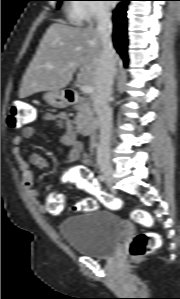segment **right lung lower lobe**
I'll return each instance as SVG.
<instances>
[{"label":"right lung lower lobe","instance_id":"obj_1","mask_svg":"<svg viewBox=\"0 0 180 299\" xmlns=\"http://www.w3.org/2000/svg\"><path fill=\"white\" fill-rule=\"evenodd\" d=\"M122 1L113 13V44L117 52L123 59L124 65H128L127 55V18L126 5L130 0Z\"/></svg>","mask_w":180,"mask_h":299}]
</instances>
